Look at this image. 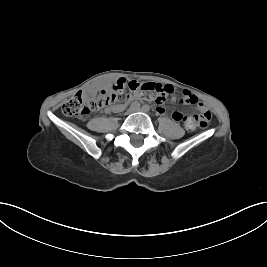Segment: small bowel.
<instances>
[{
	"mask_svg": "<svg viewBox=\"0 0 267 267\" xmlns=\"http://www.w3.org/2000/svg\"><path fill=\"white\" fill-rule=\"evenodd\" d=\"M132 98H139V97L138 96H134ZM173 100H175V99L173 98ZM200 104H201V107L207 109L202 103H200ZM125 108H126V104H120V105H116V106L112 107V109L110 111H113V112H117L118 111L119 112V111L124 110ZM157 111L160 114H164L165 113V110L162 107H158L157 108ZM174 114L175 115H178L179 114L180 115V118L179 119H175L174 118ZM172 119L174 121H176V122L183 121L184 122V126H185V128L187 130L193 131V130L196 129V125L189 120V116L188 117H184L180 112H173L172 113Z\"/></svg>",
	"mask_w": 267,
	"mask_h": 267,
	"instance_id": "obj_1",
	"label": "small bowel"
}]
</instances>
